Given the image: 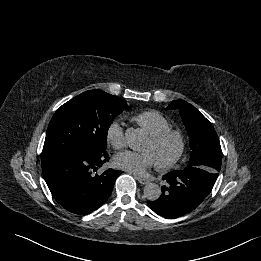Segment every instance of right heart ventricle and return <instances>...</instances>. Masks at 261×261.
<instances>
[{
	"mask_svg": "<svg viewBox=\"0 0 261 261\" xmlns=\"http://www.w3.org/2000/svg\"><path fill=\"white\" fill-rule=\"evenodd\" d=\"M133 120L150 136L156 135L170 128L168 119L156 110L143 111L135 115Z\"/></svg>",
	"mask_w": 261,
	"mask_h": 261,
	"instance_id": "obj_1",
	"label": "right heart ventricle"
}]
</instances>
